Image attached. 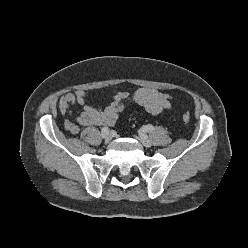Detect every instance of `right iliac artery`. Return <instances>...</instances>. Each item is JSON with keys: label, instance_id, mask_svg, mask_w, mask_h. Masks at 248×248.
<instances>
[{"label": "right iliac artery", "instance_id": "obj_1", "mask_svg": "<svg viewBox=\"0 0 248 248\" xmlns=\"http://www.w3.org/2000/svg\"><path fill=\"white\" fill-rule=\"evenodd\" d=\"M108 134H109V129L107 127L102 128V130H101L102 137L104 138Z\"/></svg>", "mask_w": 248, "mask_h": 248}]
</instances>
